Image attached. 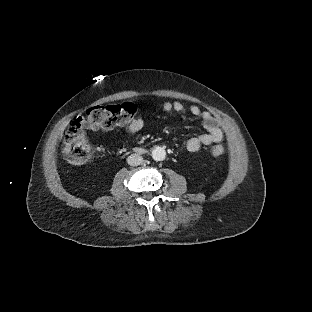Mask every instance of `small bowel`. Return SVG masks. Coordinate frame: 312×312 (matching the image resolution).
Returning a JSON list of instances; mask_svg holds the SVG:
<instances>
[{"instance_id":"c3829d8e","label":"small bowel","mask_w":312,"mask_h":312,"mask_svg":"<svg viewBox=\"0 0 312 312\" xmlns=\"http://www.w3.org/2000/svg\"><path fill=\"white\" fill-rule=\"evenodd\" d=\"M163 110L165 112L175 111L181 113L184 110V105L180 101H166L163 104ZM189 112L192 116L201 118L203 127L206 132L192 137L187 141L186 148L189 152L197 151L203 145H210L218 143L223 139L224 133L221 127L220 120L211 114L209 111L202 110L198 105H191ZM144 127V119L141 116H137L132 119L127 128L130 132H138Z\"/></svg>"}]
</instances>
